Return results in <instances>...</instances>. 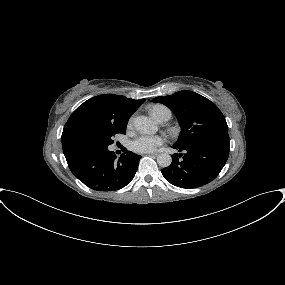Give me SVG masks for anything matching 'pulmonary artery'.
Here are the masks:
<instances>
[{"label":"pulmonary artery","mask_w":285,"mask_h":285,"mask_svg":"<svg viewBox=\"0 0 285 285\" xmlns=\"http://www.w3.org/2000/svg\"><path fill=\"white\" fill-rule=\"evenodd\" d=\"M166 121H167V120H161L160 122H162V123H163V122H166Z\"/></svg>","instance_id":"pulmonary-artery-1"}]
</instances>
